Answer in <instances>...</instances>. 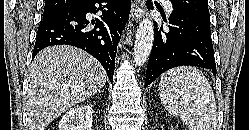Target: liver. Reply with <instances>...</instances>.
Returning <instances> with one entry per match:
<instances>
[{"label": "liver", "mask_w": 249, "mask_h": 130, "mask_svg": "<svg viewBox=\"0 0 249 130\" xmlns=\"http://www.w3.org/2000/svg\"><path fill=\"white\" fill-rule=\"evenodd\" d=\"M28 81L29 130H44L60 114L101 90L107 74L87 52L58 45L39 52Z\"/></svg>", "instance_id": "obj_1"}]
</instances>
